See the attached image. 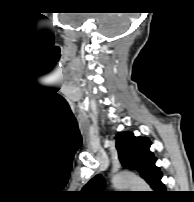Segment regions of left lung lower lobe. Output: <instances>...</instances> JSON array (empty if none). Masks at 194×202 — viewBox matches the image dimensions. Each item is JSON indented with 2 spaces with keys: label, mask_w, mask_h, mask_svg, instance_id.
Masks as SVG:
<instances>
[{
  "label": "left lung lower lobe",
  "mask_w": 194,
  "mask_h": 202,
  "mask_svg": "<svg viewBox=\"0 0 194 202\" xmlns=\"http://www.w3.org/2000/svg\"><path fill=\"white\" fill-rule=\"evenodd\" d=\"M161 177L162 174L160 172L154 179L153 183L150 185L156 194H162L166 191L164 184L161 182Z\"/></svg>",
  "instance_id": "0a47b994"
}]
</instances>
